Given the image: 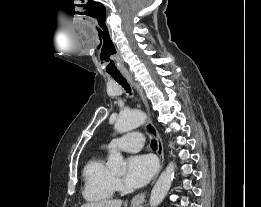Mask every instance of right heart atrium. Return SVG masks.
Returning a JSON list of instances; mask_svg holds the SVG:
<instances>
[{
	"label": "right heart atrium",
	"mask_w": 261,
	"mask_h": 207,
	"mask_svg": "<svg viewBox=\"0 0 261 207\" xmlns=\"http://www.w3.org/2000/svg\"><path fill=\"white\" fill-rule=\"evenodd\" d=\"M116 186L119 187L120 186V183L119 181H116Z\"/></svg>",
	"instance_id": "d8ad5b80"
}]
</instances>
